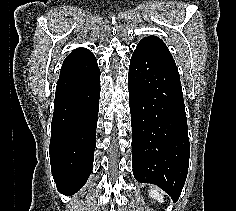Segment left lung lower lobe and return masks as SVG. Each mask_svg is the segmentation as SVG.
I'll return each instance as SVG.
<instances>
[{"label": "left lung lower lobe", "instance_id": "0a47b994", "mask_svg": "<svg viewBox=\"0 0 236 211\" xmlns=\"http://www.w3.org/2000/svg\"><path fill=\"white\" fill-rule=\"evenodd\" d=\"M128 85L134 177L158 185L177 201L187 177L190 146L173 58L137 47L130 60Z\"/></svg>", "mask_w": 236, "mask_h": 211}]
</instances>
